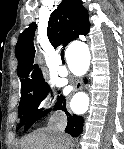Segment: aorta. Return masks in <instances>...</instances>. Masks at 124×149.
<instances>
[{
	"label": "aorta",
	"instance_id": "1",
	"mask_svg": "<svg viewBox=\"0 0 124 149\" xmlns=\"http://www.w3.org/2000/svg\"><path fill=\"white\" fill-rule=\"evenodd\" d=\"M76 56L82 58L86 66L89 64L90 53L86 45L81 44L76 50Z\"/></svg>",
	"mask_w": 124,
	"mask_h": 149
}]
</instances>
